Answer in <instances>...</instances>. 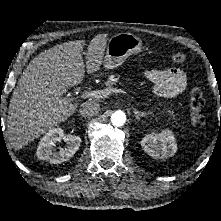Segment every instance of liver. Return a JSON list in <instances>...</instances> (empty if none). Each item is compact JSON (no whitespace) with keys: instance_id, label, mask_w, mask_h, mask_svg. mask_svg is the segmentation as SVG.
Segmentation results:
<instances>
[{"instance_id":"6515ba94","label":"liver","mask_w":221,"mask_h":221,"mask_svg":"<svg viewBox=\"0 0 221 221\" xmlns=\"http://www.w3.org/2000/svg\"><path fill=\"white\" fill-rule=\"evenodd\" d=\"M84 40L56 45L37 55L18 80L10 99L7 134L14 150H20L68 119L78 104L66 102L63 94L80 84L85 76L100 70L107 34L89 43L86 65L82 58Z\"/></svg>"}]
</instances>
